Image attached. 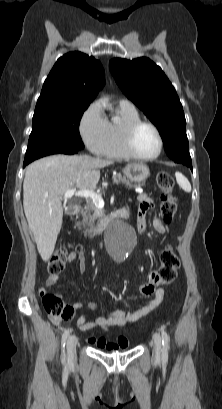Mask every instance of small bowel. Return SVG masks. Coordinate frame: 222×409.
<instances>
[{
  "label": "small bowel",
  "instance_id": "obj_1",
  "mask_svg": "<svg viewBox=\"0 0 222 409\" xmlns=\"http://www.w3.org/2000/svg\"><path fill=\"white\" fill-rule=\"evenodd\" d=\"M138 228L141 233L146 231V215L149 210L154 208V201L149 198L147 195L142 194L138 198ZM127 210V209H125ZM128 211V210H127ZM129 213V211H128ZM153 227L158 233H165L166 227L164 223L158 218L153 219ZM75 260L79 261V270L81 273H84L86 270L85 258L82 252H71L68 255L67 261L73 262ZM162 270L153 269L151 275L147 281H144L143 284L138 286V293L141 297H154L153 300L137 311L131 312L125 309H118L108 312L104 316L96 317L92 320H89L86 315H82L77 320V327L82 330H90L94 328L103 329L110 331L113 327H122L130 322H136L143 319L150 312L155 310L160 303L162 302L165 296V290L161 288V284L164 283V280L161 279ZM59 280V275L51 274L47 277L44 286L40 289V293H45L46 289L54 287ZM82 304L75 305V308H82ZM88 308H97L96 304H89ZM50 320L54 325H60L61 318L56 316H50ZM88 344L96 346L100 350L107 352H114L118 350H125L128 348V341L124 337L118 338L115 342H107L102 337H89L87 339Z\"/></svg>",
  "mask_w": 222,
  "mask_h": 409
}]
</instances>
